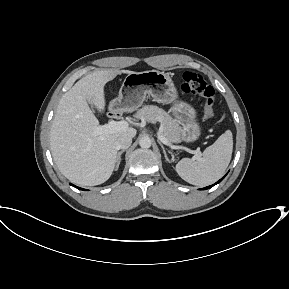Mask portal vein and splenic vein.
<instances>
[{"instance_id":"portal-vein-and-splenic-vein-1","label":"portal vein and splenic vein","mask_w":289,"mask_h":289,"mask_svg":"<svg viewBox=\"0 0 289 289\" xmlns=\"http://www.w3.org/2000/svg\"><path fill=\"white\" fill-rule=\"evenodd\" d=\"M128 128V123L126 121H114L111 120L108 124L97 126L94 128V133L97 135L113 133ZM158 139L165 145H171L170 142L163 136L161 130L157 133ZM194 159H199V155L195 152Z\"/></svg>"}]
</instances>
